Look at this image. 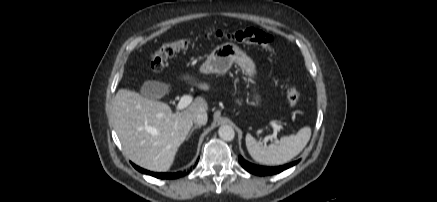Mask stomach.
<instances>
[{
    "label": "stomach",
    "instance_id": "stomach-1",
    "mask_svg": "<svg viewBox=\"0 0 437 202\" xmlns=\"http://www.w3.org/2000/svg\"><path fill=\"white\" fill-rule=\"evenodd\" d=\"M233 63H237L241 67L244 74L248 76V82L254 85V77L256 76L254 61L238 45L232 42L218 45L202 64L200 71L204 74H223L231 68ZM248 103L251 106L258 107L261 103L260 95L255 93L252 101Z\"/></svg>",
    "mask_w": 437,
    "mask_h": 202
}]
</instances>
